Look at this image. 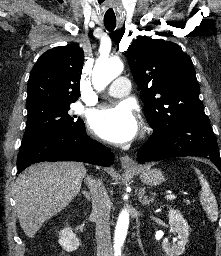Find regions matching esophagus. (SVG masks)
Instances as JSON below:
<instances>
[{"instance_id": "esophagus-1", "label": "esophagus", "mask_w": 221, "mask_h": 256, "mask_svg": "<svg viewBox=\"0 0 221 256\" xmlns=\"http://www.w3.org/2000/svg\"><path fill=\"white\" fill-rule=\"evenodd\" d=\"M121 165L124 168H135L136 167V163L128 155H124V156L121 157Z\"/></svg>"}]
</instances>
